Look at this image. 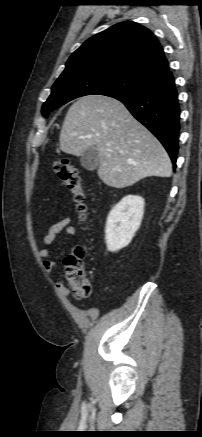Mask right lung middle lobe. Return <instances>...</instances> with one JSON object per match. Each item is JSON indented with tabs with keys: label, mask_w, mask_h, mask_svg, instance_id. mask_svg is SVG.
<instances>
[{
	"label": "right lung middle lobe",
	"mask_w": 202,
	"mask_h": 437,
	"mask_svg": "<svg viewBox=\"0 0 202 437\" xmlns=\"http://www.w3.org/2000/svg\"><path fill=\"white\" fill-rule=\"evenodd\" d=\"M148 83L113 71L73 70L61 74L54 83L50 97L42 106V114L47 117L50 111L81 96L95 94L113 97L135 93Z\"/></svg>",
	"instance_id": "dd1d6c3e"
}]
</instances>
